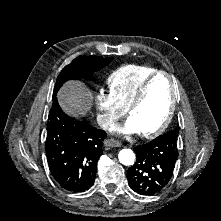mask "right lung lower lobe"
<instances>
[{
	"instance_id": "98d812e1",
	"label": "right lung lower lobe",
	"mask_w": 221,
	"mask_h": 221,
	"mask_svg": "<svg viewBox=\"0 0 221 221\" xmlns=\"http://www.w3.org/2000/svg\"><path fill=\"white\" fill-rule=\"evenodd\" d=\"M106 132L67 116L53 98L47 122L46 155L52 176L64 189L92 186Z\"/></svg>"
}]
</instances>
